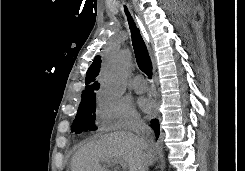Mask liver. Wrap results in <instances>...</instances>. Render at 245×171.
Segmentation results:
<instances>
[{"label":"liver","mask_w":245,"mask_h":171,"mask_svg":"<svg viewBox=\"0 0 245 171\" xmlns=\"http://www.w3.org/2000/svg\"><path fill=\"white\" fill-rule=\"evenodd\" d=\"M150 156V158H149ZM113 159L124 160L129 171H141L145 164H153L155 152L148 153L140 138L132 133L114 132L86 143L72 157L71 171H109L100 164Z\"/></svg>","instance_id":"1"}]
</instances>
